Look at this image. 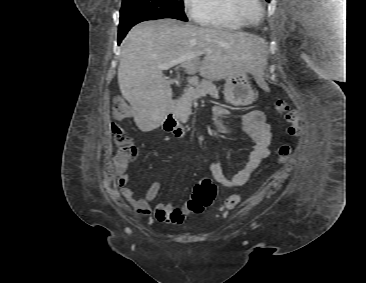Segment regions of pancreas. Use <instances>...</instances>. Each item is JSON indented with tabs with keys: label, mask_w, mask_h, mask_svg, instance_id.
Wrapping results in <instances>:
<instances>
[{
	"label": "pancreas",
	"mask_w": 366,
	"mask_h": 283,
	"mask_svg": "<svg viewBox=\"0 0 366 283\" xmlns=\"http://www.w3.org/2000/svg\"><path fill=\"white\" fill-rule=\"evenodd\" d=\"M190 86L187 88L179 100L176 108V114L180 121L186 122L191 114V106L193 102L209 94L212 98L218 99L219 93L216 86L210 80L199 82L197 77H192Z\"/></svg>",
	"instance_id": "cf45deb5"
}]
</instances>
